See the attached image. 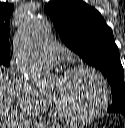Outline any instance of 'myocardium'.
Listing matches in <instances>:
<instances>
[{"instance_id": "f54148a6", "label": "myocardium", "mask_w": 125, "mask_h": 128, "mask_svg": "<svg viewBox=\"0 0 125 128\" xmlns=\"http://www.w3.org/2000/svg\"><path fill=\"white\" fill-rule=\"evenodd\" d=\"M78 72H88L94 75L101 84L102 101L96 110L90 113H70L60 105L55 97L50 96V99L53 105L54 112L58 117L68 122L84 123L97 119L106 111L110 100V90L109 84L104 75L99 70L85 64H78L69 67L68 69L63 71L61 77H68Z\"/></svg>"}]
</instances>
